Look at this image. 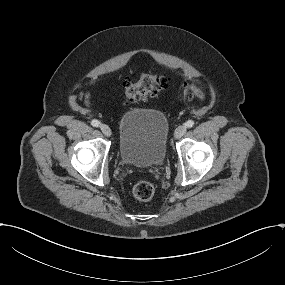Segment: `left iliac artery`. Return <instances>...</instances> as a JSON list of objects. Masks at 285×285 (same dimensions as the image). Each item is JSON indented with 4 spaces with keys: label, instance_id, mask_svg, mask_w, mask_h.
Segmentation results:
<instances>
[{
    "label": "left iliac artery",
    "instance_id": "left-iliac-artery-1",
    "mask_svg": "<svg viewBox=\"0 0 285 285\" xmlns=\"http://www.w3.org/2000/svg\"><path fill=\"white\" fill-rule=\"evenodd\" d=\"M193 125H194V121H192V120H188V121L185 123V126H186L187 128H191V127H193Z\"/></svg>",
    "mask_w": 285,
    "mask_h": 285
}]
</instances>
